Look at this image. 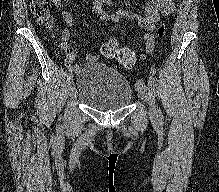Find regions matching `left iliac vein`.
<instances>
[{"label": "left iliac vein", "mask_w": 219, "mask_h": 192, "mask_svg": "<svg viewBox=\"0 0 219 192\" xmlns=\"http://www.w3.org/2000/svg\"><path fill=\"white\" fill-rule=\"evenodd\" d=\"M137 91H138V96L142 100L148 103L150 115L151 116L156 115L157 112L155 108V100H154L152 90L148 86H146L143 81H139L137 83Z\"/></svg>", "instance_id": "4c4485c4"}]
</instances>
